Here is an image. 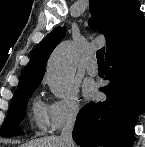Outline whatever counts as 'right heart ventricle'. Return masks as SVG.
<instances>
[{"label": "right heart ventricle", "instance_id": "e07e8e85", "mask_svg": "<svg viewBox=\"0 0 145 147\" xmlns=\"http://www.w3.org/2000/svg\"><path fill=\"white\" fill-rule=\"evenodd\" d=\"M44 108L45 107L38 100H36L33 104V119H34L35 123L41 128H44V126H45Z\"/></svg>", "mask_w": 145, "mask_h": 147}]
</instances>
